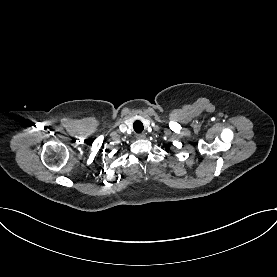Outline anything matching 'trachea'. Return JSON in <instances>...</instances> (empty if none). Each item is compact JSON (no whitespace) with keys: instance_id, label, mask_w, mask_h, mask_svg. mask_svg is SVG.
I'll list each match as a JSON object with an SVG mask.
<instances>
[{"instance_id":"3493384b","label":"trachea","mask_w":277,"mask_h":277,"mask_svg":"<svg viewBox=\"0 0 277 277\" xmlns=\"http://www.w3.org/2000/svg\"><path fill=\"white\" fill-rule=\"evenodd\" d=\"M133 128H134V131L136 133H141L144 129V126H143V123L139 120H136L134 123H133Z\"/></svg>"}]
</instances>
